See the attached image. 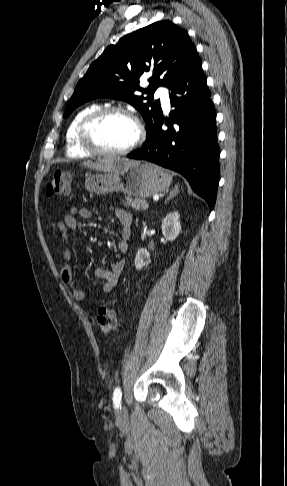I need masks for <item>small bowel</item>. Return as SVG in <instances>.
Here are the masks:
<instances>
[{"label": "small bowel", "mask_w": 287, "mask_h": 486, "mask_svg": "<svg viewBox=\"0 0 287 486\" xmlns=\"http://www.w3.org/2000/svg\"><path fill=\"white\" fill-rule=\"evenodd\" d=\"M114 213L120 224V239L117 242V250L120 254H125L128 251V241L131 236V214L123 209H115ZM76 216L84 219L93 217V212L86 208L72 207L67 214L56 222V226L60 231L61 241L63 243L62 258L64 264L61 268V280L71 289L72 295L77 301H84L88 299L87 294L81 288L75 285L73 278V271L71 266L72 252L68 246L69 233L77 227ZM125 261L120 259L111 264L109 268H97L94 271V276L103 281L102 292L109 293L117 284L118 279L124 269Z\"/></svg>", "instance_id": "small-bowel-1"}]
</instances>
